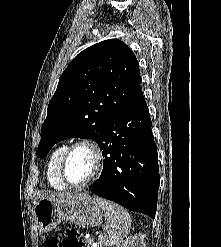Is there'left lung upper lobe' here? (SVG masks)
Returning <instances> with one entry per match:
<instances>
[{
    "mask_svg": "<svg viewBox=\"0 0 221 247\" xmlns=\"http://www.w3.org/2000/svg\"><path fill=\"white\" fill-rule=\"evenodd\" d=\"M140 70L134 53L109 39L80 52L59 79L41 129L37 155L70 137L92 139L101 148L112 119L144 105Z\"/></svg>",
    "mask_w": 221,
    "mask_h": 247,
    "instance_id": "obj_1",
    "label": "left lung upper lobe"
}]
</instances>
